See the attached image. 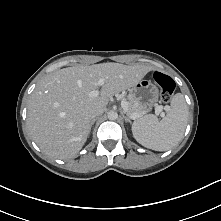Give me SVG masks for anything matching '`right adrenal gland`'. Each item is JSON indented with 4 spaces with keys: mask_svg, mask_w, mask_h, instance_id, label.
Here are the masks:
<instances>
[{
    "mask_svg": "<svg viewBox=\"0 0 221 221\" xmlns=\"http://www.w3.org/2000/svg\"><path fill=\"white\" fill-rule=\"evenodd\" d=\"M95 121H96V118H94V119L91 120V123H90V130H91V127H93ZM90 130H89V132H90Z\"/></svg>",
    "mask_w": 221,
    "mask_h": 221,
    "instance_id": "2a0ac1e0",
    "label": "right adrenal gland"
}]
</instances>
